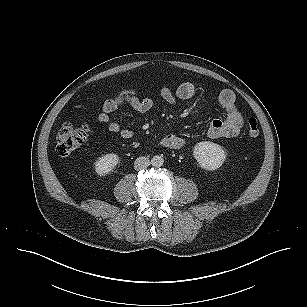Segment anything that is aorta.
<instances>
[{"label":"aorta","instance_id":"obj_1","mask_svg":"<svg viewBox=\"0 0 307 307\" xmlns=\"http://www.w3.org/2000/svg\"><path fill=\"white\" fill-rule=\"evenodd\" d=\"M163 163H164V159L162 158V156L155 155L151 159L152 166H154L156 168L161 167L163 165Z\"/></svg>","mask_w":307,"mask_h":307}]
</instances>
